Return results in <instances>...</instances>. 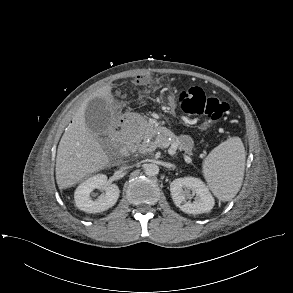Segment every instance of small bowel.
<instances>
[{"mask_svg": "<svg viewBox=\"0 0 293 293\" xmlns=\"http://www.w3.org/2000/svg\"><path fill=\"white\" fill-rule=\"evenodd\" d=\"M187 121H191L188 119ZM179 145L184 151H188L192 146V140L189 136L183 135L179 138Z\"/></svg>", "mask_w": 293, "mask_h": 293, "instance_id": "obj_1", "label": "small bowel"}]
</instances>
